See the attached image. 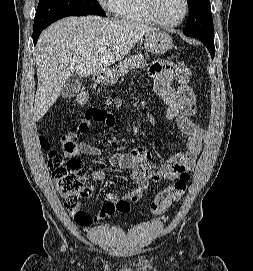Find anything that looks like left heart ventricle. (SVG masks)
Wrapping results in <instances>:
<instances>
[{"label": "left heart ventricle", "mask_w": 253, "mask_h": 271, "mask_svg": "<svg viewBox=\"0 0 253 271\" xmlns=\"http://www.w3.org/2000/svg\"><path fill=\"white\" fill-rule=\"evenodd\" d=\"M153 8L164 22H176L184 12L183 0H153Z\"/></svg>", "instance_id": "left-heart-ventricle-1"}]
</instances>
